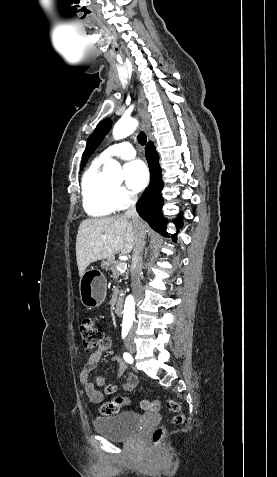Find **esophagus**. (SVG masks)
<instances>
[{
  "label": "esophagus",
  "instance_id": "1",
  "mask_svg": "<svg viewBox=\"0 0 277 477\" xmlns=\"http://www.w3.org/2000/svg\"><path fill=\"white\" fill-rule=\"evenodd\" d=\"M138 93H139V98H138L139 112L142 119L143 129L145 130L146 133H149L150 115L147 111V103H146L144 92L141 87H138Z\"/></svg>",
  "mask_w": 277,
  "mask_h": 477
}]
</instances>
